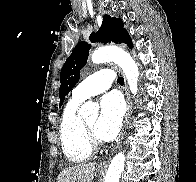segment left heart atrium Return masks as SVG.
Masks as SVG:
<instances>
[{"instance_id":"39dd6f15","label":"left heart atrium","mask_w":196,"mask_h":182,"mask_svg":"<svg viewBox=\"0 0 196 182\" xmlns=\"http://www.w3.org/2000/svg\"><path fill=\"white\" fill-rule=\"evenodd\" d=\"M125 108L122 98L116 93L101 99V112L95 127V135L103 141L113 140L119 133Z\"/></svg>"}]
</instances>
